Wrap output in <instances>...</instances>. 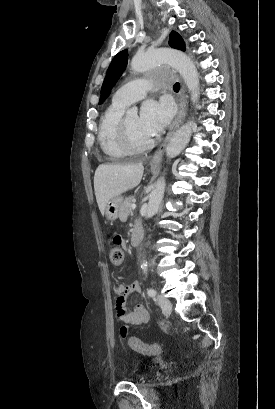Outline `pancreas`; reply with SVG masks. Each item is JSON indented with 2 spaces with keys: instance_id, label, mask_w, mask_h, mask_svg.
Wrapping results in <instances>:
<instances>
[{
  "instance_id": "obj_1",
  "label": "pancreas",
  "mask_w": 275,
  "mask_h": 409,
  "mask_svg": "<svg viewBox=\"0 0 275 409\" xmlns=\"http://www.w3.org/2000/svg\"><path fill=\"white\" fill-rule=\"evenodd\" d=\"M134 196H127L123 200L122 205L119 209V219L120 221H127L128 215L132 213L131 205H133Z\"/></svg>"
}]
</instances>
